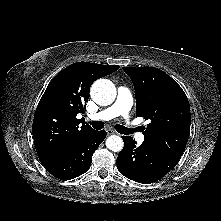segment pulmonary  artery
Masks as SVG:
<instances>
[{"label": "pulmonary artery", "instance_id": "1", "mask_svg": "<svg viewBox=\"0 0 221 221\" xmlns=\"http://www.w3.org/2000/svg\"><path fill=\"white\" fill-rule=\"evenodd\" d=\"M132 105L133 97L130 90L121 86L117 90L116 101L108 108L91 115L89 118L93 121H108L117 116H122L127 119ZM131 130L134 133L136 140L139 142L144 140V136L141 133L135 132L134 129Z\"/></svg>", "mask_w": 221, "mask_h": 221}]
</instances>
